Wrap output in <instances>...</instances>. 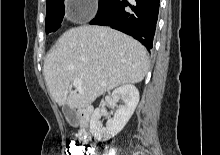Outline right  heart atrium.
Here are the masks:
<instances>
[{"instance_id": "1", "label": "right heart atrium", "mask_w": 220, "mask_h": 155, "mask_svg": "<svg viewBox=\"0 0 220 155\" xmlns=\"http://www.w3.org/2000/svg\"><path fill=\"white\" fill-rule=\"evenodd\" d=\"M95 14V6L91 0H82L77 6L73 15L76 21H85L92 18Z\"/></svg>"}]
</instances>
